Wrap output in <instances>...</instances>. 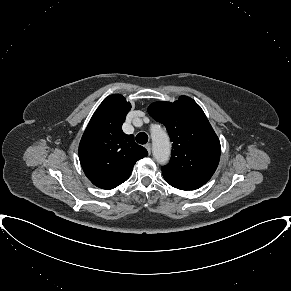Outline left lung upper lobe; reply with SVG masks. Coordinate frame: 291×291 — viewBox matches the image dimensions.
I'll return each instance as SVG.
<instances>
[{
    "label": "left lung upper lobe",
    "instance_id": "obj_1",
    "mask_svg": "<svg viewBox=\"0 0 291 291\" xmlns=\"http://www.w3.org/2000/svg\"><path fill=\"white\" fill-rule=\"evenodd\" d=\"M148 113L165 125L172 144L169 163L162 173L185 181L205 184L220 159V141L200 106L190 97L173 103L154 102Z\"/></svg>",
    "mask_w": 291,
    "mask_h": 291
}]
</instances>
